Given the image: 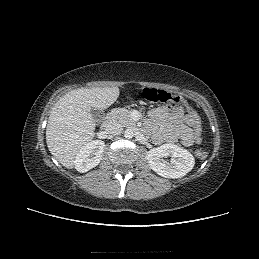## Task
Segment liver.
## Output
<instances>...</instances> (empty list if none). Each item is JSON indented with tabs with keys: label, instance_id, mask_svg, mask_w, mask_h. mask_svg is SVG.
Instances as JSON below:
<instances>
[{
	"label": "liver",
	"instance_id": "liver-1",
	"mask_svg": "<svg viewBox=\"0 0 259 259\" xmlns=\"http://www.w3.org/2000/svg\"><path fill=\"white\" fill-rule=\"evenodd\" d=\"M118 97V87L79 88L56 102L48 118L46 142L64 167L73 168L79 150L95 136L91 109H107Z\"/></svg>",
	"mask_w": 259,
	"mask_h": 259
}]
</instances>
